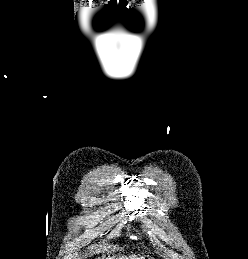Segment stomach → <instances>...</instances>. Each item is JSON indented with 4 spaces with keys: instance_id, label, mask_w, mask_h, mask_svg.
<instances>
[{
    "instance_id": "0dacf381",
    "label": "stomach",
    "mask_w": 248,
    "mask_h": 259,
    "mask_svg": "<svg viewBox=\"0 0 248 259\" xmlns=\"http://www.w3.org/2000/svg\"><path fill=\"white\" fill-rule=\"evenodd\" d=\"M140 259H154L151 255L142 256Z\"/></svg>"
}]
</instances>
